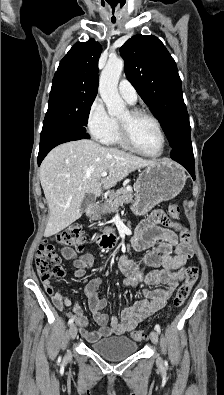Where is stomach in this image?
<instances>
[{
  "label": "stomach",
  "mask_w": 224,
  "mask_h": 395,
  "mask_svg": "<svg viewBox=\"0 0 224 395\" xmlns=\"http://www.w3.org/2000/svg\"><path fill=\"white\" fill-rule=\"evenodd\" d=\"M186 181L184 170L170 160H158L147 166L135 183L132 210L137 215L148 213L155 205L176 197Z\"/></svg>",
  "instance_id": "stomach-1"
}]
</instances>
